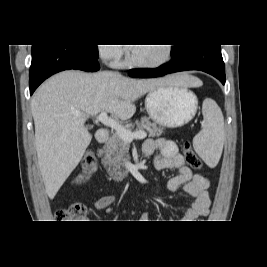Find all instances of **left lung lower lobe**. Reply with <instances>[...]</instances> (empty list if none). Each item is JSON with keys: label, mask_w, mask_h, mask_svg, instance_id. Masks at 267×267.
<instances>
[{"label": "left lung lower lobe", "mask_w": 267, "mask_h": 267, "mask_svg": "<svg viewBox=\"0 0 267 267\" xmlns=\"http://www.w3.org/2000/svg\"><path fill=\"white\" fill-rule=\"evenodd\" d=\"M171 56V62L158 68L131 69L128 74L136 78H153L174 72L200 70L225 84V66L220 45H187L171 51Z\"/></svg>", "instance_id": "left-lung-lower-lobe-1"}]
</instances>
